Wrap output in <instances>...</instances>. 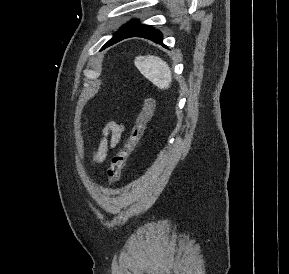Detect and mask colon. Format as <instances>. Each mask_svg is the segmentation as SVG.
<instances>
[{"label": "colon", "mask_w": 289, "mask_h": 274, "mask_svg": "<svg viewBox=\"0 0 289 274\" xmlns=\"http://www.w3.org/2000/svg\"><path fill=\"white\" fill-rule=\"evenodd\" d=\"M155 110V100L152 97H147L144 101L143 108L138 115L136 122L132 128L129 138L126 140L123 147L112 158L110 167L107 171L109 185H114L121 177L123 170L128 165V158L139 142L147 123L153 116Z\"/></svg>", "instance_id": "1"}]
</instances>
